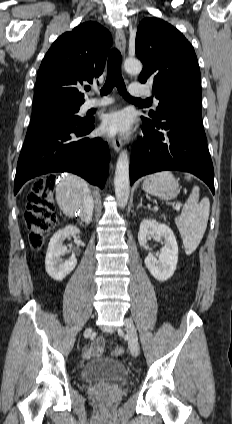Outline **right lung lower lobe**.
I'll return each instance as SVG.
<instances>
[{
  "mask_svg": "<svg viewBox=\"0 0 232 424\" xmlns=\"http://www.w3.org/2000/svg\"><path fill=\"white\" fill-rule=\"evenodd\" d=\"M94 120L31 123L17 163L14 194L31 178L50 172H72L103 188L110 152L101 138L86 137Z\"/></svg>",
  "mask_w": 232,
  "mask_h": 424,
  "instance_id": "right-lung-lower-lobe-1",
  "label": "right lung lower lobe"
}]
</instances>
